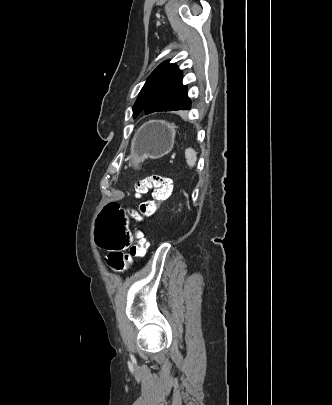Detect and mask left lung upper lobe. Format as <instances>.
Listing matches in <instances>:
<instances>
[{
  "mask_svg": "<svg viewBox=\"0 0 332 405\" xmlns=\"http://www.w3.org/2000/svg\"><path fill=\"white\" fill-rule=\"evenodd\" d=\"M153 111L189 110L191 101L187 86L182 84V72L175 64L165 61L148 77L133 106V116L147 107Z\"/></svg>",
  "mask_w": 332,
  "mask_h": 405,
  "instance_id": "5c2ea615",
  "label": "left lung upper lobe"
}]
</instances>
